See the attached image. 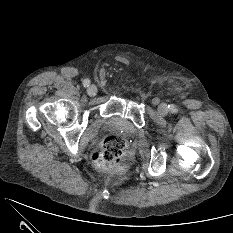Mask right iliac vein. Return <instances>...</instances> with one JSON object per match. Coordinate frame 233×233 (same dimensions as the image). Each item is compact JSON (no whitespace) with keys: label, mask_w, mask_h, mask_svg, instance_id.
I'll list each match as a JSON object with an SVG mask.
<instances>
[{"label":"right iliac vein","mask_w":233,"mask_h":233,"mask_svg":"<svg viewBox=\"0 0 233 233\" xmlns=\"http://www.w3.org/2000/svg\"><path fill=\"white\" fill-rule=\"evenodd\" d=\"M87 93L89 96H95L97 94V87L95 85H90L87 88Z\"/></svg>","instance_id":"right-iliac-vein-1"}]
</instances>
